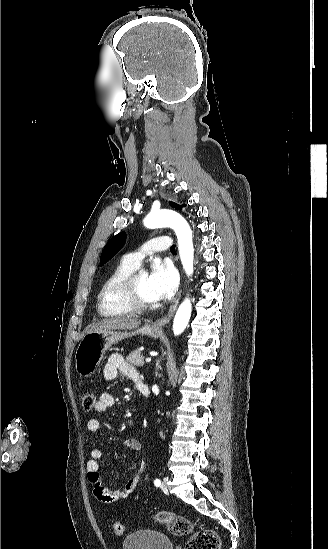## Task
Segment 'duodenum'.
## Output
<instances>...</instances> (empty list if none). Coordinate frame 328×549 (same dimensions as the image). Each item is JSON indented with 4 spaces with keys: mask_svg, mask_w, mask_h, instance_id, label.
Returning a JSON list of instances; mask_svg holds the SVG:
<instances>
[{
    "mask_svg": "<svg viewBox=\"0 0 328 549\" xmlns=\"http://www.w3.org/2000/svg\"><path fill=\"white\" fill-rule=\"evenodd\" d=\"M134 383L141 394H143L144 396H149L150 389L148 385L140 379L139 376L134 378Z\"/></svg>",
    "mask_w": 328,
    "mask_h": 549,
    "instance_id": "410a0bca",
    "label": "duodenum"
}]
</instances>
